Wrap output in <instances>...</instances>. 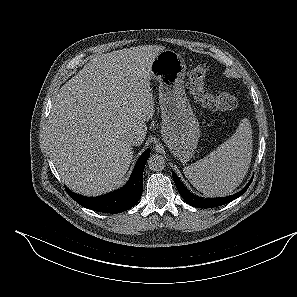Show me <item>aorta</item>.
Segmentation results:
<instances>
[{
    "label": "aorta",
    "mask_w": 297,
    "mask_h": 297,
    "mask_svg": "<svg viewBox=\"0 0 297 297\" xmlns=\"http://www.w3.org/2000/svg\"><path fill=\"white\" fill-rule=\"evenodd\" d=\"M149 169L152 171H162L165 168V159L162 155L154 154L149 157L148 161Z\"/></svg>",
    "instance_id": "obj_1"
}]
</instances>
